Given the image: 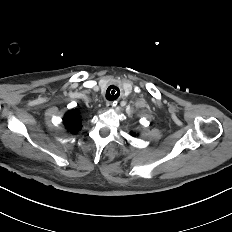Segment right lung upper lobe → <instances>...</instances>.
I'll list each match as a JSON object with an SVG mask.
<instances>
[{"label":"right lung upper lobe","mask_w":232,"mask_h":232,"mask_svg":"<svg viewBox=\"0 0 232 232\" xmlns=\"http://www.w3.org/2000/svg\"><path fill=\"white\" fill-rule=\"evenodd\" d=\"M66 129L71 133H76L81 129V117L77 109L67 112L63 118Z\"/></svg>","instance_id":"cb5924a9"}]
</instances>
